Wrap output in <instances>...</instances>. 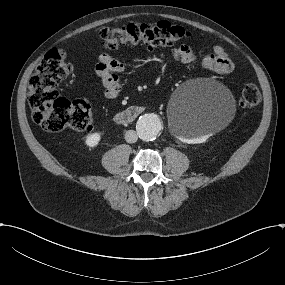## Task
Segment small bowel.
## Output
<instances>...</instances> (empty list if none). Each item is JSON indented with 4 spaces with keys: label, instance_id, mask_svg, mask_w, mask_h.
<instances>
[{
    "label": "small bowel",
    "instance_id": "obj_1",
    "mask_svg": "<svg viewBox=\"0 0 285 285\" xmlns=\"http://www.w3.org/2000/svg\"><path fill=\"white\" fill-rule=\"evenodd\" d=\"M171 56L174 60L190 63L196 59L194 52L187 45H181L171 50ZM204 68L209 69L218 74H229L234 69L224 47L216 45L213 47V53L204 56L201 59ZM125 66L115 57L109 54H101L95 64V72L102 81L104 94L107 98H116L121 91V81L119 74L122 73Z\"/></svg>",
    "mask_w": 285,
    "mask_h": 285
}]
</instances>
